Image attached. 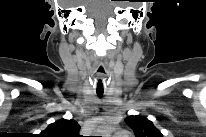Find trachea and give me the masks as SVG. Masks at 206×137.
I'll list each match as a JSON object with an SVG mask.
<instances>
[{
	"label": "trachea",
	"mask_w": 206,
	"mask_h": 137,
	"mask_svg": "<svg viewBox=\"0 0 206 137\" xmlns=\"http://www.w3.org/2000/svg\"><path fill=\"white\" fill-rule=\"evenodd\" d=\"M99 72H103V69L100 68V69H99ZM98 88H101L102 91H98V90H97V95H98L99 97H102V95H103V82H102L101 79H98L97 89H98Z\"/></svg>",
	"instance_id": "trachea-1"
}]
</instances>
